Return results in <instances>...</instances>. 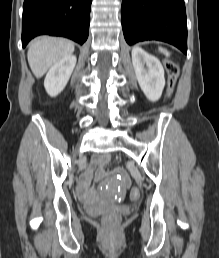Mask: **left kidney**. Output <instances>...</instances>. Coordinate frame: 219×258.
Returning <instances> with one entry per match:
<instances>
[{
  "label": "left kidney",
  "instance_id": "5707ae66",
  "mask_svg": "<svg viewBox=\"0 0 219 258\" xmlns=\"http://www.w3.org/2000/svg\"><path fill=\"white\" fill-rule=\"evenodd\" d=\"M132 63L140 88L146 97L153 102L159 100L165 86L164 69L160 61L142 48L134 47Z\"/></svg>",
  "mask_w": 219,
  "mask_h": 258
}]
</instances>
